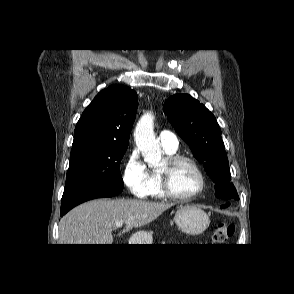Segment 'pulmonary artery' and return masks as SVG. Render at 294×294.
Segmentation results:
<instances>
[{"mask_svg": "<svg viewBox=\"0 0 294 294\" xmlns=\"http://www.w3.org/2000/svg\"><path fill=\"white\" fill-rule=\"evenodd\" d=\"M159 141L163 149H166L171 152L177 151L178 149V140L176 136L170 131H161L159 134Z\"/></svg>", "mask_w": 294, "mask_h": 294, "instance_id": "e3ab8cb5", "label": "pulmonary artery"}]
</instances>
